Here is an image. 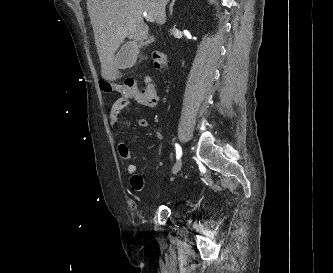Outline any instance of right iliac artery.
Here are the masks:
<instances>
[{
	"label": "right iliac artery",
	"mask_w": 333,
	"mask_h": 273,
	"mask_svg": "<svg viewBox=\"0 0 333 273\" xmlns=\"http://www.w3.org/2000/svg\"><path fill=\"white\" fill-rule=\"evenodd\" d=\"M175 148H176V158L177 159H180L181 155H182V149L180 147L179 144H175Z\"/></svg>",
	"instance_id": "1"
}]
</instances>
